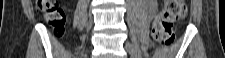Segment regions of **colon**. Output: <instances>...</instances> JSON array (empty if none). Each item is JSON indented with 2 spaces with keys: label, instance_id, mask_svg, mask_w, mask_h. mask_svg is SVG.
<instances>
[{
  "label": "colon",
  "instance_id": "5ec220e1",
  "mask_svg": "<svg viewBox=\"0 0 225 58\" xmlns=\"http://www.w3.org/2000/svg\"><path fill=\"white\" fill-rule=\"evenodd\" d=\"M37 10L52 28L55 36H60L66 23L65 10L57 0H40ZM188 14L184 0H168L161 13L153 23L152 34L155 41L162 46H170L175 40L176 24Z\"/></svg>",
  "mask_w": 225,
  "mask_h": 58
}]
</instances>
